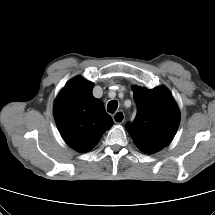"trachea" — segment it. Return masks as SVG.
<instances>
[{
  "label": "trachea",
  "instance_id": "trachea-1",
  "mask_svg": "<svg viewBox=\"0 0 215 215\" xmlns=\"http://www.w3.org/2000/svg\"><path fill=\"white\" fill-rule=\"evenodd\" d=\"M118 107V102L116 100H112L107 105V111L109 113H114Z\"/></svg>",
  "mask_w": 215,
  "mask_h": 215
}]
</instances>
